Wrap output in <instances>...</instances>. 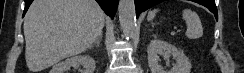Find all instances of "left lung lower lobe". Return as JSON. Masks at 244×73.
Returning a JSON list of instances; mask_svg holds the SVG:
<instances>
[{"instance_id": "obj_1", "label": "left lung lower lobe", "mask_w": 244, "mask_h": 73, "mask_svg": "<svg viewBox=\"0 0 244 73\" xmlns=\"http://www.w3.org/2000/svg\"><path fill=\"white\" fill-rule=\"evenodd\" d=\"M164 0H135V7H136V17L139 14L161 2ZM205 7H207L211 12L215 14L216 19L218 18L217 8L215 5V0H194Z\"/></svg>"}]
</instances>
